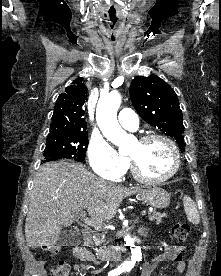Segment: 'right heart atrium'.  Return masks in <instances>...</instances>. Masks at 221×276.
Wrapping results in <instances>:
<instances>
[{
	"label": "right heart atrium",
	"instance_id": "obj_1",
	"mask_svg": "<svg viewBox=\"0 0 221 276\" xmlns=\"http://www.w3.org/2000/svg\"><path fill=\"white\" fill-rule=\"evenodd\" d=\"M88 161L97 175L112 181L120 179L128 167V159L119 154L107 140L100 136L90 140Z\"/></svg>",
	"mask_w": 221,
	"mask_h": 276
}]
</instances>
